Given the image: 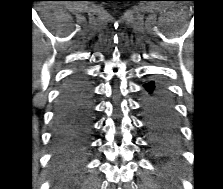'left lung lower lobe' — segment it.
<instances>
[{
  "instance_id": "left-lung-lower-lobe-1",
  "label": "left lung lower lobe",
  "mask_w": 223,
  "mask_h": 189,
  "mask_svg": "<svg viewBox=\"0 0 223 189\" xmlns=\"http://www.w3.org/2000/svg\"><path fill=\"white\" fill-rule=\"evenodd\" d=\"M141 105L148 124L163 127L174 134L176 117L172 98L164 84L155 81L144 83Z\"/></svg>"
}]
</instances>
